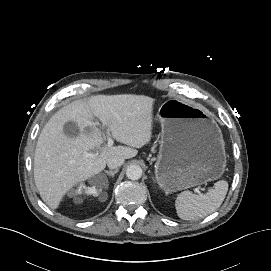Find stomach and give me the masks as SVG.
<instances>
[{"instance_id": "obj_1", "label": "stomach", "mask_w": 271, "mask_h": 271, "mask_svg": "<svg viewBox=\"0 0 271 271\" xmlns=\"http://www.w3.org/2000/svg\"><path fill=\"white\" fill-rule=\"evenodd\" d=\"M157 117L162 131L155 175L166 194L222 176L226 166L223 135L203 107L170 99L160 106Z\"/></svg>"}]
</instances>
